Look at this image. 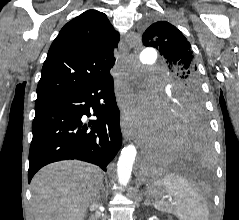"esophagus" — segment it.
<instances>
[{"label":"esophagus","mask_w":239,"mask_h":220,"mask_svg":"<svg viewBox=\"0 0 239 220\" xmlns=\"http://www.w3.org/2000/svg\"><path fill=\"white\" fill-rule=\"evenodd\" d=\"M119 53H120V57L121 58H125L127 56V50L124 46V44L121 42L119 44ZM114 91L115 92H118L119 91V87H120V84L119 83H115L114 84ZM116 102H117V106L120 107V110H119V123H122V128H123V136L125 139H128L129 138V135L127 133V131L125 130V120L124 118L127 117V114H126V110H125V106H126V100L123 99V93H116Z\"/></svg>","instance_id":"34e87169"}]
</instances>
